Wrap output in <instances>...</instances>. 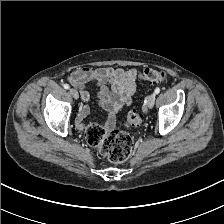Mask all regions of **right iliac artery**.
Wrapping results in <instances>:
<instances>
[{
    "instance_id": "1",
    "label": "right iliac artery",
    "mask_w": 224,
    "mask_h": 224,
    "mask_svg": "<svg viewBox=\"0 0 224 224\" xmlns=\"http://www.w3.org/2000/svg\"><path fill=\"white\" fill-rule=\"evenodd\" d=\"M64 88H65V89H69L70 86H69L68 84H64Z\"/></svg>"
}]
</instances>
